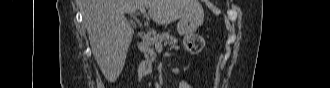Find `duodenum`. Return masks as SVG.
<instances>
[{"mask_svg":"<svg viewBox=\"0 0 330 88\" xmlns=\"http://www.w3.org/2000/svg\"><path fill=\"white\" fill-rule=\"evenodd\" d=\"M153 67L149 62H143L139 65V72L141 75H148L152 72Z\"/></svg>","mask_w":330,"mask_h":88,"instance_id":"410a0bca","label":"duodenum"}]
</instances>
